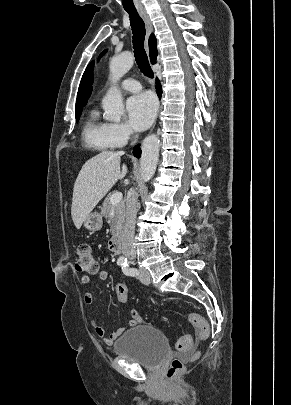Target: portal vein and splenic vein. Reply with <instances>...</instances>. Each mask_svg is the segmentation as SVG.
<instances>
[{
    "label": "portal vein and splenic vein",
    "instance_id": "18ae733b",
    "mask_svg": "<svg viewBox=\"0 0 291 405\" xmlns=\"http://www.w3.org/2000/svg\"><path fill=\"white\" fill-rule=\"evenodd\" d=\"M122 198H123V195L121 192L114 193L111 197V204L112 205L118 204L119 202H121Z\"/></svg>",
    "mask_w": 291,
    "mask_h": 405
}]
</instances>
